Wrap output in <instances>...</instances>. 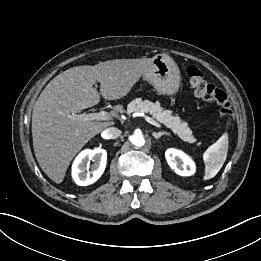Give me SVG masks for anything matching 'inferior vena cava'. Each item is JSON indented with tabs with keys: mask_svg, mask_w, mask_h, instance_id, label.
<instances>
[{
	"mask_svg": "<svg viewBox=\"0 0 261 261\" xmlns=\"http://www.w3.org/2000/svg\"><path fill=\"white\" fill-rule=\"evenodd\" d=\"M102 135L105 139H115L121 135V131L116 127H109L103 131Z\"/></svg>",
	"mask_w": 261,
	"mask_h": 261,
	"instance_id": "602c4592",
	"label": "inferior vena cava"
}]
</instances>
